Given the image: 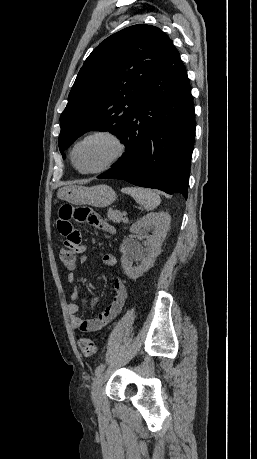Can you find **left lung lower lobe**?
<instances>
[{"mask_svg":"<svg viewBox=\"0 0 257 459\" xmlns=\"http://www.w3.org/2000/svg\"><path fill=\"white\" fill-rule=\"evenodd\" d=\"M194 137L190 84L174 47L139 95V105L121 138L124 156L98 178L121 179L187 198Z\"/></svg>","mask_w":257,"mask_h":459,"instance_id":"left-lung-lower-lobe-1","label":"left lung lower lobe"}]
</instances>
